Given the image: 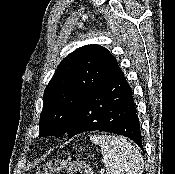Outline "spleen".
Returning <instances> with one entry per match:
<instances>
[{"mask_svg": "<svg viewBox=\"0 0 175 174\" xmlns=\"http://www.w3.org/2000/svg\"><path fill=\"white\" fill-rule=\"evenodd\" d=\"M90 139L101 147L106 174L143 173V158L127 139L114 135L91 136Z\"/></svg>", "mask_w": 175, "mask_h": 174, "instance_id": "obj_1", "label": "spleen"}]
</instances>
